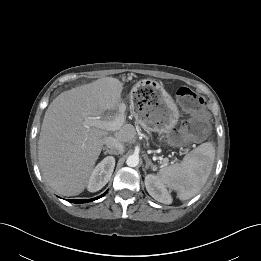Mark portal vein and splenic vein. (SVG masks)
Listing matches in <instances>:
<instances>
[{
	"instance_id": "portal-vein-and-splenic-vein-1",
	"label": "portal vein and splenic vein",
	"mask_w": 261,
	"mask_h": 261,
	"mask_svg": "<svg viewBox=\"0 0 261 261\" xmlns=\"http://www.w3.org/2000/svg\"><path fill=\"white\" fill-rule=\"evenodd\" d=\"M119 110H120V114L117 118L108 121L94 120L93 125L107 131L119 130L124 123V115L122 113L124 109L122 107V104L119 105Z\"/></svg>"
}]
</instances>
